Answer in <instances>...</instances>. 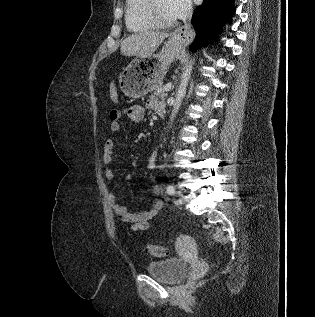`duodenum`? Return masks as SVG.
<instances>
[{
  "mask_svg": "<svg viewBox=\"0 0 315 317\" xmlns=\"http://www.w3.org/2000/svg\"><path fill=\"white\" fill-rule=\"evenodd\" d=\"M164 113H165V111L162 110V111H159L158 114H159L161 117H163V116H164Z\"/></svg>",
  "mask_w": 315,
  "mask_h": 317,
  "instance_id": "obj_1",
  "label": "duodenum"
}]
</instances>
